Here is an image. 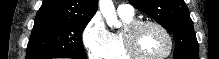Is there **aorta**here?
<instances>
[{
	"label": "aorta",
	"mask_w": 219,
	"mask_h": 59,
	"mask_svg": "<svg viewBox=\"0 0 219 59\" xmlns=\"http://www.w3.org/2000/svg\"><path fill=\"white\" fill-rule=\"evenodd\" d=\"M99 9L109 26H120L112 0H100Z\"/></svg>",
	"instance_id": "obj_1"
}]
</instances>
